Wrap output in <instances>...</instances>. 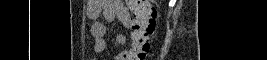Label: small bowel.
I'll return each instance as SVG.
<instances>
[{
  "label": "small bowel",
  "mask_w": 267,
  "mask_h": 60,
  "mask_svg": "<svg viewBox=\"0 0 267 60\" xmlns=\"http://www.w3.org/2000/svg\"><path fill=\"white\" fill-rule=\"evenodd\" d=\"M87 16L93 20L90 33L94 41V50L97 54L105 53L107 50V43L105 35L107 32L105 23L99 18L102 16L106 22H113L115 20L120 21L124 26L133 28L132 15L121 0H90L87 5ZM132 41H134L136 35L132 32ZM116 42L119 45H123L126 42V36L124 34H118L116 36ZM94 57L93 60H97ZM116 60H132V48L128 50H122L116 56Z\"/></svg>",
  "instance_id": "small-bowel-1"
}]
</instances>
